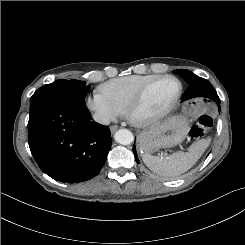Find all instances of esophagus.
<instances>
[{
	"instance_id": "1",
	"label": "esophagus",
	"mask_w": 245,
	"mask_h": 245,
	"mask_svg": "<svg viewBox=\"0 0 245 245\" xmlns=\"http://www.w3.org/2000/svg\"><path fill=\"white\" fill-rule=\"evenodd\" d=\"M118 128H119V127H118L117 125H112V126L110 127V131H111L112 133H114Z\"/></svg>"
}]
</instances>
